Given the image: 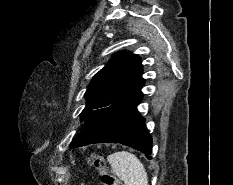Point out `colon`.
Here are the masks:
<instances>
[{
  "label": "colon",
  "instance_id": "1",
  "mask_svg": "<svg viewBox=\"0 0 233 185\" xmlns=\"http://www.w3.org/2000/svg\"><path fill=\"white\" fill-rule=\"evenodd\" d=\"M92 160L100 172L99 185H119L117 179L108 170L106 162L102 156L95 155Z\"/></svg>",
  "mask_w": 233,
  "mask_h": 185
}]
</instances>
